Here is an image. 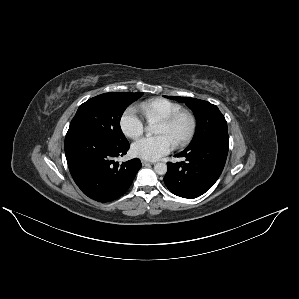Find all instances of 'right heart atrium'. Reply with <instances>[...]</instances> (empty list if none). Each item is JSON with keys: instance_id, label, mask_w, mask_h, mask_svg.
Listing matches in <instances>:
<instances>
[{"instance_id": "right-heart-atrium-1", "label": "right heart atrium", "mask_w": 299, "mask_h": 299, "mask_svg": "<svg viewBox=\"0 0 299 299\" xmlns=\"http://www.w3.org/2000/svg\"><path fill=\"white\" fill-rule=\"evenodd\" d=\"M120 125L124 134L130 138H138L145 131L144 120L136 107H129L121 117Z\"/></svg>"}]
</instances>
